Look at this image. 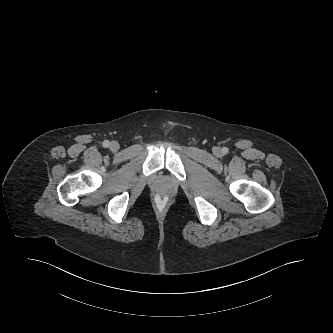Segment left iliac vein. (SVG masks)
Wrapping results in <instances>:
<instances>
[{"instance_id":"4c4485c4","label":"left iliac vein","mask_w":333,"mask_h":333,"mask_svg":"<svg viewBox=\"0 0 333 333\" xmlns=\"http://www.w3.org/2000/svg\"><path fill=\"white\" fill-rule=\"evenodd\" d=\"M219 152H220V149L217 148V149H216V153L219 154Z\"/></svg>"}]
</instances>
